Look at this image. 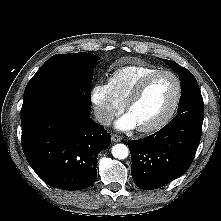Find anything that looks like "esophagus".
<instances>
[{
    "instance_id": "esophagus-1",
    "label": "esophagus",
    "mask_w": 221,
    "mask_h": 221,
    "mask_svg": "<svg viewBox=\"0 0 221 221\" xmlns=\"http://www.w3.org/2000/svg\"><path fill=\"white\" fill-rule=\"evenodd\" d=\"M111 138H112V141L114 142H120L122 140V137L117 134H113Z\"/></svg>"
}]
</instances>
